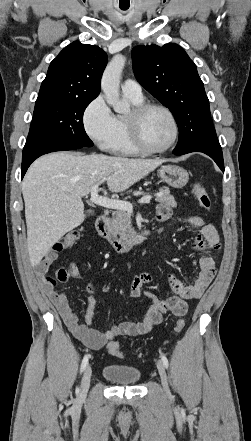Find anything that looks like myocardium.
I'll return each mask as SVG.
<instances>
[{"mask_svg": "<svg viewBox=\"0 0 251 441\" xmlns=\"http://www.w3.org/2000/svg\"><path fill=\"white\" fill-rule=\"evenodd\" d=\"M158 109L165 112L171 120L173 126V136L171 141L162 148H153L146 144L142 131L141 122L143 117L151 110ZM128 131L133 144L143 153L161 154L170 150L177 142L179 137V125L174 113L165 105L159 103H142L135 106L126 118Z\"/></svg>", "mask_w": 251, "mask_h": 441, "instance_id": "myocardium-1", "label": "myocardium"}]
</instances>
